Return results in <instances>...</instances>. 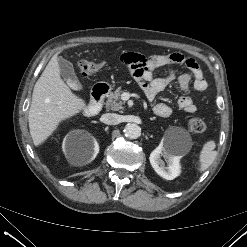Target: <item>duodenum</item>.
Segmentation results:
<instances>
[{"label":"duodenum","instance_id":"duodenum-1","mask_svg":"<svg viewBox=\"0 0 247 247\" xmlns=\"http://www.w3.org/2000/svg\"><path fill=\"white\" fill-rule=\"evenodd\" d=\"M109 92V86L106 84H97L93 87L91 93V100L89 105L85 108V115L88 117L96 115L103 104L106 94Z\"/></svg>","mask_w":247,"mask_h":247}]
</instances>
